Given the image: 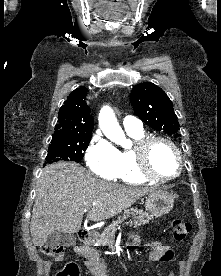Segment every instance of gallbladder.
Instances as JSON below:
<instances>
[{
	"label": "gallbladder",
	"instance_id": "gallbladder-1",
	"mask_svg": "<svg viewBox=\"0 0 221 276\" xmlns=\"http://www.w3.org/2000/svg\"><path fill=\"white\" fill-rule=\"evenodd\" d=\"M75 243L76 237L73 234H69L60 230L52 232L46 241V245L50 247L73 246Z\"/></svg>",
	"mask_w": 221,
	"mask_h": 276
}]
</instances>
